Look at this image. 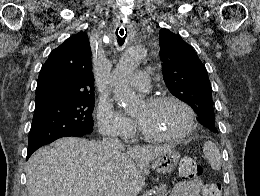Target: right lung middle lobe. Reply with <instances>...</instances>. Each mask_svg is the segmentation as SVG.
<instances>
[{"mask_svg": "<svg viewBox=\"0 0 260 196\" xmlns=\"http://www.w3.org/2000/svg\"><path fill=\"white\" fill-rule=\"evenodd\" d=\"M94 101V93H81L35 106L28 150H36L61 137L92 133Z\"/></svg>", "mask_w": 260, "mask_h": 196, "instance_id": "obj_1", "label": "right lung middle lobe"}]
</instances>
